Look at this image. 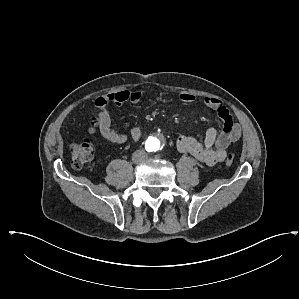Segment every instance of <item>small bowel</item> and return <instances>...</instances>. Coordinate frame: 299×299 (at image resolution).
Here are the masks:
<instances>
[{
  "label": "small bowel",
  "mask_w": 299,
  "mask_h": 299,
  "mask_svg": "<svg viewBox=\"0 0 299 299\" xmlns=\"http://www.w3.org/2000/svg\"><path fill=\"white\" fill-rule=\"evenodd\" d=\"M142 96L141 91L121 90L100 96L95 100V106L99 110L100 133L105 139L115 144H124L128 139L125 134L116 129L111 115L106 111V106L108 104L122 106L128 102L137 103ZM179 99L183 103L195 101V97L188 93L181 94ZM204 104L220 118L222 123L221 132L218 134L215 128L208 129L203 142L193 136L180 135L176 139V147L180 152L188 153L198 161L211 166L222 162L226 158L227 148L239 139L241 129L220 100L206 97ZM130 136L132 141L137 143L142 137L141 128L133 126L130 129Z\"/></svg>",
  "instance_id": "obj_1"
}]
</instances>
